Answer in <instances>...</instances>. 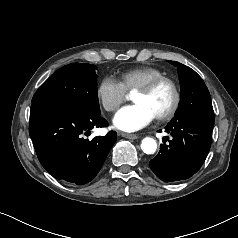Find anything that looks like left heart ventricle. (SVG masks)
<instances>
[{
    "label": "left heart ventricle",
    "mask_w": 238,
    "mask_h": 238,
    "mask_svg": "<svg viewBox=\"0 0 238 238\" xmlns=\"http://www.w3.org/2000/svg\"><path fill=\"white\" fill-rule=\"evenodd\" d=\"M173 91L168 84H162L149 94L134 93L133 101L135 103L145 104L154 114L165 113L172 105Z\"/></svg>",
    "instance_id": "obj_1"
}]
</instances>
